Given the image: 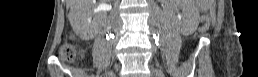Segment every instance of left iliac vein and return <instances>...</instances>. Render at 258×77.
Returning a JSON list of instances; mask_svg holds the SVG:
<instances>
[{"mask_svg":"<svg viewBox=\"0 0 258 77\" xmlns=\"http://www.w3.org/2000/svg\"><path fill=\"white\" fill-rule=\"evenodd\" d=\"M151 71L154 75L161 76L162 72L154 67H151Z\"/></svg>","mask_w":258,"mask_h":77,"instance_id":"4c4485c4","label":"left iliac vein"}]
</instances>
